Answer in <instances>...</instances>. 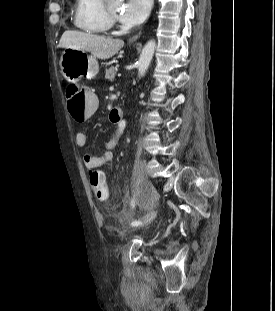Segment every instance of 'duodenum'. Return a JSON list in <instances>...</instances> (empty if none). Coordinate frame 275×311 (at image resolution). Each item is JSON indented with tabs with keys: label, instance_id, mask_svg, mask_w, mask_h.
Here are the masks:
<instances>
[{
	"label": "duodenum",
	"instance_id": "obj_1",
	"mask_svg": "<svg viewBox=\"0 0 275 311\" xmlns=\"http://www.w3.org/2000/svg\"><path fill=\"white\" fill-rule=\"evenodd\" d=\"M114 112H121V109L120 108H114V109H112V113H114Z\"/></svg>",
	"mask_w": 275,
	"mask_h": 311
}]
</instances>
